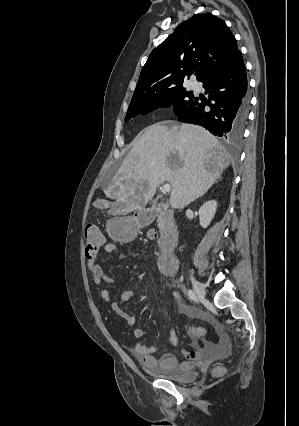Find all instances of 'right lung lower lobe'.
<instances>
[{"instance_id":"obj_1","label":"right lung lower lobe","mask_w":299,"mask_h":426,"mask_svg":"<svg viewBox=\"0 0 299 426\" xmlns=\"http://www.w3.org/2000/svg\"><path fill=\"white\" fill-rule=\"evenodd\" d=\"M201 82L209 99L194 97L183 110L176 113L179 120L201 125L220 137L239 138L249 110L247 78L241 53Z\"/></svg>"}]
</instances>
